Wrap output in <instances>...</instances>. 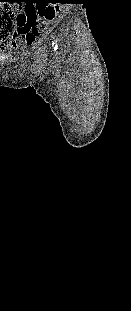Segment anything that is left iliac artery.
<instances>
[{"label": "left iliac artery", "instance_id": "obj_1", "mask_svg": "<svg viewBox=\"0 0 131 311\" xmlns=\"http://www.w3.org/2000/svg\"><path fill=\"white\" fill-rule=\"evenodd\" d=\"M51 37H52V39H53L52 45H55V47H57V40L55 41L54 36H51Z\"/></svg>", "mask_w": 131, "mask_h": 311}]
</instances>
